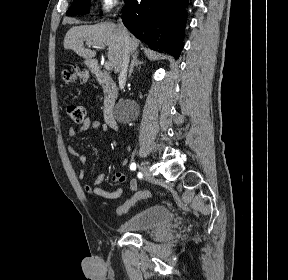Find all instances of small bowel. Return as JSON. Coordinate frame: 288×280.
I'll return each mask as SVG.
<instances>
[{
	"instance_id": "c3829d8e",
	"label": "small bowel",
	"mask_w": 288,
	"mask_h": 280,
	"mask_svg": "<svg viewBox=\"0 0 288 280\" xmlns=\"http://www.w3.org/2000/svg\"><path fill=\"white\" fill-rule=\"evenodd\" d=\"M88 129H93V130H98V131H106L107 126L103 122H101L100 120H98L92 116H88L83 121V123L80 127H78V128L70 127L68 132H69V135L71 137H76L77 135H79L82 132L87 131ZM69 152L71 153V155H73L74 157H77L79 159V162L82 166V168L79 172V178H80V180H82L84 182V190L89 196H91L97 200H101V201H113V200L119 199L122 196V194H123V188L122 187H118L117 189H115L113 191H108V190H105L99 186V184H101L106 178L104 173L98 174L93 179H88V177L86 175L85 168H84L86 165V162H87V156L85 154L80 153L73 146H71L69 148ZM121 163H122V165L126 166L127 165V159L125 157L122 158ZM111 182L113 184H118V185L127 184L128 191L130 193H134L133 196H135L138 193L137 192L138 184H137L136 179H134V178L128 179L123 173H120V172L115 173L111 178Z\"/></svg>"
}]
</instances>
